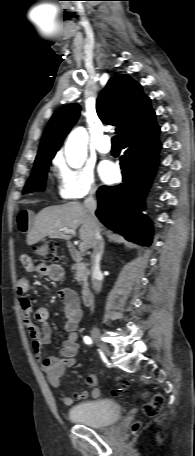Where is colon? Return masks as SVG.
<instances>
[{
    "label": "colon",
    "instance_id": "colon-1",
    "mask_svg": "<svg viewBox=\"0 0 195 456\" xmlns=\"http://www.w3.org/2000/svg\"><path fill=\"white\" fill-rule=\"evenodd\" d=\"M35 252L48 264H57L60 261V256L58 253V245L56 242L47 240L41 245L35 248ZM128 389L127 381L123 380L119 383L118 387L113 391V394L116 396H124ZM146 398V402L143 406V412L148 417L156 416L160 413L164 397L160 393L154 394H142ZM139 424H134L132 427L133 432L137 431Z\"/></svg>",
    "mask_w": 195,
    "mask_h": 456
}]
</instances>
